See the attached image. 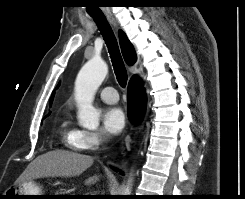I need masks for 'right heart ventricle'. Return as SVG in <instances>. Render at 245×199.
Listing matches in <instances>:
<instances>
[{"label":"right heart ventricle","instance_id":"1","mask_svg":"<svg viewBox=\"0 0 245 199\" xmlns=\"http://www.w3.org/2000/svg\"><path fill=\"white\" fill-rule=\"evenodd\" d=\"M59 128L66 145L70 149L76 152L84 150L80 145V130L75 127L69 114H65L61 118Z\"/></svg>","mask_w":245,"mask_h":199}]
</instances>
